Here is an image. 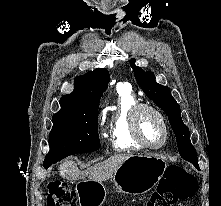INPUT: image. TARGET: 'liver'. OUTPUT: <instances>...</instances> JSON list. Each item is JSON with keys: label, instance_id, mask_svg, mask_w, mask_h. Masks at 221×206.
<instances>
[{"label": "liver", "instance_id": "liver-1", "mask_svg": "<svg viewBox=\"0 0 221 206\" xmlns=\"http://www.w3.org/2000/svg\"><path fill=\"white\" fill-rule=\"evenodd\" d=\"M131 155H114L97 163L85 171H80L73 160H66L59 166V173L68 180H78L88 177L91 180L102 182L112 178L117 168Z\"/></svg>", "mask_w": 221, "mask_h": 206}]
</instances>
